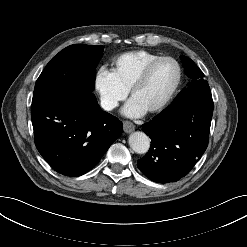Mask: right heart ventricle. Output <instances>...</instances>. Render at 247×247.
Instances as JSON below:
<instances>
[{"mask_svg":"<svg viewBox=\"0 0 247 247\" xmlns=\"http://www.w3.org/2000/svg\"><path fill=\"white\" fill-rule=\"evenodd\" d=\"M158 57L159 55L146 50L126 52L113 60L111 73L118 84L129 91L143 68Z\"/></svg>","mask_w":247,"mask_h":247,"instance_id":"e07e8e85","label":"right heart ventricle"}]
</instances>
